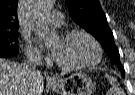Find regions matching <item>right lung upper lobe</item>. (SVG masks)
<instances>
[{
    "label": "right lung upper lobe",
    "instance_id": "cb5924a9",
    "mask_svg": "<svg viewBox=\"0 0 135 95\" xmlns=\"http://www.w3.org/2000/svg\"><path fill=\"white\" fill-rule=\"evenodd\" d=\"M17 5L18 0H0V31L18 29Z\"/></svg>",
    "mask_w": 135,
    "mask_h": 95
}]
</instances>
